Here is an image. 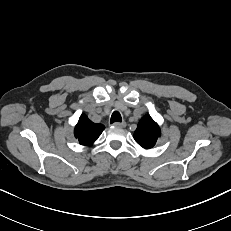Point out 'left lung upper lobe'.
Instances as JSON below:
<instances>
[{"label": "left lung upper lobe", "mask_w": 231, "mask_h": 231, "mask_svg": "<svg viewBox=\"0 0 231 231\" xmlns=\"http://www.w3.org/2000/svg\"><path fill=\"white\" fill-rule=\"evenodd\" d=\"M159 136L160 128L150 116H144L139 121L133 135L135 141L145 149L152 148Z\"/></svg>", "instance_id": "1"}]
</instances>
